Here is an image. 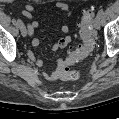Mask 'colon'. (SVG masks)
Returning a JSON list of instances; mask_svg holds the SVG:
<instances>
[{
  "mask_svg": "<svg viewBox=\"0 0 119 119\" xmlns=\"http://www.w3.org/2000/svg\"><path fill=\"white\" fill-rule=\"evenodd\" d=\"M94 14V7H90L83 12L78 29V37L81 40V44L69 49L68 55L60 67V79L67 81L77 80L79 78V73L70 68L85 59L94 47V32L92 29Z\"/></svg>",
  "mask_w": 119,
  "mask_h": 119,
  "instance_id": "5ec220e1",
  "label": "colon"
}]
</instances>
